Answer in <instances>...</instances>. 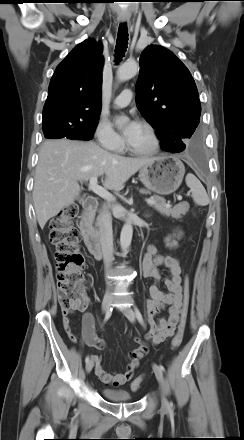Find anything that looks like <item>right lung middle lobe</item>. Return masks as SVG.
Masks as SVG:
<instances>
[{
  "instance_id": "obj_1",
  "label": "right lung middle lobe",
  "mask_w": 244,
  "mask_h": 440,
  "mask_svg": "<svg viewBox=\"0 0 244 440\" xmlns=\"http://www.w3.org/2000/svg\"><path fill=\"white\" fill-rule=\"evenodd\" d=\"M98 120L87 124H76L72 121L48 120L42 122L45 138L59 139L66 137L73 140H90L93 137Z\"/></svg>"
}]
</instances>
